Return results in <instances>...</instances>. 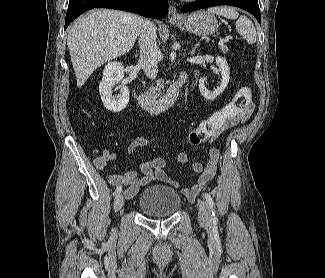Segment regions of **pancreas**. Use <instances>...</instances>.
<instances>
[{
    "label": "pancreas",
    "mask_w": 325,
    "mask_h": 278,
    "mask_svg": "<svg viewBox=\"0 0 325 278\" xmlns=\"http://www.w3.org/2000/svg\"><path fill=\"white\" fill-rule=\"evenodd\" d=\"M219 49L224 53L228 52V47L226 45L219 46ZM163 87H164L163 80L160 79L157 81V86L150 87L149 94L150 95H160Z\"/></svg>",
    "instance_id": "pancreas-1"
}]
</instances>
